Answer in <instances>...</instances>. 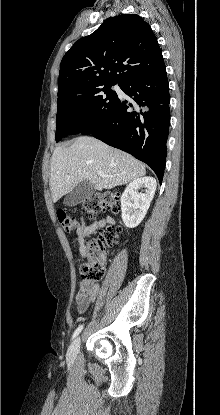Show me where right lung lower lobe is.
<instances>
[{
    "mask_svg": "<svg viewBox=\"0 0 220 415\" xmlns=\"http://www.w3.org/2000/svg\"><path fill=\"white\" fill-rule=\"evenodd\" d=\"M120 88L131 100L117 97L107 120L88 134L145 162L161 183L170 125L165 64L123 81Z\"/></svg>",
    "mask_w": 220,
    "mask_h": 415,
    "instance_id": "obj_1",
    "label": "right lung lower lobe"
}]
</instances>
